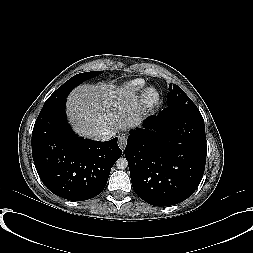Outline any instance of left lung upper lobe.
<instances>
[{
  "mask_svg": "<svg viewBox=\"0 0 253 253\" xmlns=\"http://www.w3.org/2000/svg\"><path fill=\"white\" fill-rule=\"evenodd\" d=\"M167 107L179 108L184 110H198L193 101L177 85L169 86L167 94Z\"/></svg>",
  "mask_w": 253,
  "mask_h": 253,
  "instance_id": "5c2ea615",
  "label": "left lung upper lobe"
}]
</instances>
